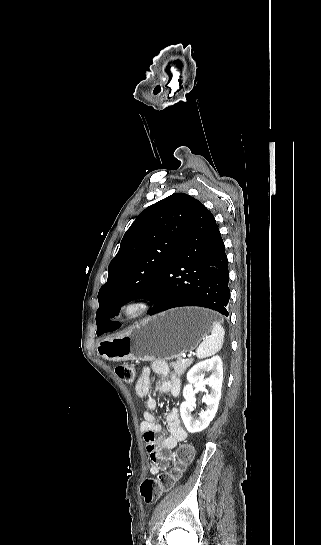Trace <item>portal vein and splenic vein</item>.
Returning a JSON list of instances; mask_svg holds the SVG:
<instances>
[{
	"mask_svg": "<svg viewBox=\"0 0 321 545\" xmlns=\"http://www.w3.org/2000/svg\"><path fill=\"white\" fill-rule=\"evenodd\" d=\"M191 357V353H187V358Z\"/></svg>",
	"mask_w": 321,
	"mask_h": 545,
	"instance_id": "portal-vein-and-splenic-vein-1",
	"label": "portal vein and splenic vein"
}]
</instances>
